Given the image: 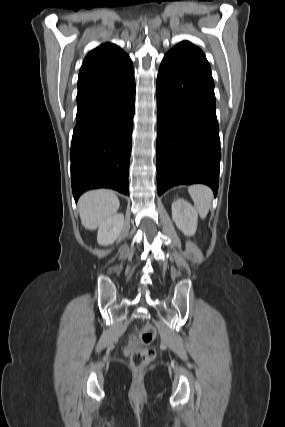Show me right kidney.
<instances>
[{
    "label": "right kidney",
    "instance_id": "right-kidney-1",
    "mask_svg": "<svg viewBox=\"0 0 285 427\" xmlns=\"http://www.w3.org/2000/svg\"><path fill=\"white\" fill-rule=\"evenodd\" d=\"M124 226V215L114 214L100 224L97 234V242L107 246L113 244L120 236Z\"/></svg>",
    "mask_w": 285,
    "mask_h": 427
}]
</instances>
